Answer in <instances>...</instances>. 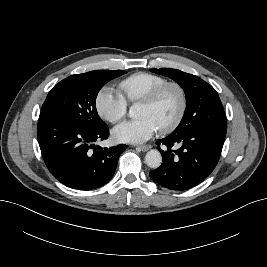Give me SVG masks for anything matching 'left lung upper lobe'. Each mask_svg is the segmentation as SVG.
Listing matches in <instances>:
<instances>
[{
	"label": "left lung upper lobe",
	"instance_id": "1",
	"mask_svg": "<svg viewBox=\"0 0 267 267\" xmlns=\"http://www.w3.org/2000/svg\"><path fill=\"white\" fill-rule=\"evenodd\" d=\"M151 71L173 79L184 89L186 95L184 116L171 134L183 133L198 126L227 124L220 98L207 82L177 69L152 68Z\"/></svg>",
	"mask_w": 267,
	"mask_h": 267
}]
</instances>
